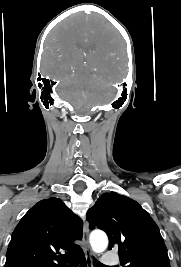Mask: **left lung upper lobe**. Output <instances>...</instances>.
<instances>
[{
  "mask_svg": "<svg viewBox=\"0 0 181 267\" xmlns=\"http://www.w3.org/2000/svg\"><path fill=\"white\" fill-rule=\"evenodd\" d=\"M89 228L97 226L118 250L123 267H170L159 228L141 205L116 192L104 193L88 210Z\"/></svg>",
  "mask_w": 181,
  "mask_h": 267,
  "instance_id": "left-lung-upper-lobe-1",
  "label": "left lung upper lobe"
}]
</instances>
